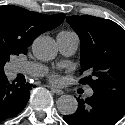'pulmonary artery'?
<instances>
[{"label":"pulmonary artery","instance_id":"1","mask_svg":"<svg viewBox=\"0 0 125 125\" xmlns=\"http://www.w3.org/2000/svg\"><path fill=\"white\" fill-rule=\"evenodd\" d=\"M56 39L60 52L66 56L73 55L79 46V37L74 32H60ZM14 72L17 74L21 73L34 77H42L46 74L47 69L39 63L19 62L14 66ZM86 95L88 97L92 96L93 91L91 89L87 90Z\"/></svg>","mask_w":125,"mask_h":125}]
</instances>
